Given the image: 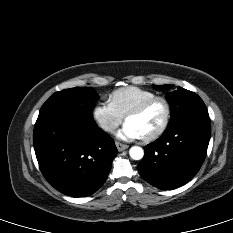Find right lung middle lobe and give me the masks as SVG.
<instances>
[{"instance_id": "right-lung-middle-lobe-1", "label": "right lung middle lobe", "mask_w": 233, "mask_h": 233, "mask_svg": "<svg viewBox=\"0 0 233 233\" xmlns=\"http://www.w3.org/2000/svg\"><path fill=\"white\" fill-rule=\"evenodd\" d=\"M98 99L99 95L89 87L65 89L48 98L42 105L38 117L53 113H70L93 120L92 107Z\"/></svg>"}]
</instances>
